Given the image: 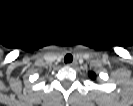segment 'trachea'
<instances>
[{
    "label": "trachea",
    "instance_id": "trachea-1",
    "mask_svg": "<svg viewBox=\"0 0 133 106\" xmlns=\"http://www.w3.org/2000/svg\"><path fill=\"white\" fill-rule=\"evenodd\" d=\"M73 61V56L71 54H67L65 57H64V62L65 63H71Z\"/></svg>",
    "mask_w": 133,
    "mask_h": 106
}]
</instances>
